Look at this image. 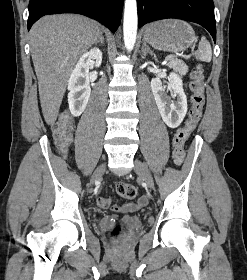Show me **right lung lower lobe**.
Here are the masks:
<instances>
[{
  "label": "right lung lower lobe",
  "mask_w": 247,
  "mask_h": 280,
  "mask_svg": "<svg viewBox=\"0 0 247 280\" xmlns=\"http://www.w3.org/2000/svg\"><path fill=\"white\" fill-rule=\"evenodd\" d=\"M124 0H30L28 30L47 14L77 13L98 20L115 32L121 21Z\"/></svg>",
  "instance_id": "1"
}]
</instances>
